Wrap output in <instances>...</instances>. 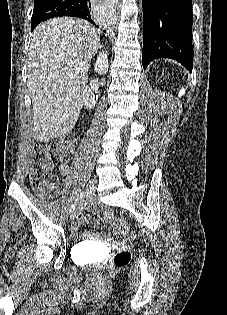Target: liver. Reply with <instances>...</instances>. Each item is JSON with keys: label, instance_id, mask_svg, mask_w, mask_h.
I'll return each mask as SVG.
<instances>
[{"label": "liver", "instance_id": "6515ba94", "mask_svg": "<svg viewBox=\"0 0 227 315\" xmlns=\"http://www.w3.org/2000/svg\"><path fill=\"white\" fill-rule=\"evenodd\" d=\"M99 43L100 30L81 19L58 17L34 30L27 68L37 141L62 136L76 124Z\"/></svg>", "mask_w": 227, "mask_h": 315}]
</instances>
